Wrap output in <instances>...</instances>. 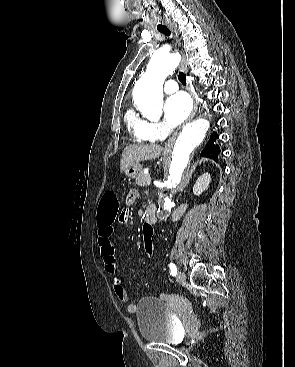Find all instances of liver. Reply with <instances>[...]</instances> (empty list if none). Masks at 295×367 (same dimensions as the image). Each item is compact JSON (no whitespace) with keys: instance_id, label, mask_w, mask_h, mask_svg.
<instances>
[{"instance_id":"1","label":"liver","mask_w":295,"mask_h":367,"mask_svg":"<svg viewBox=\"0 0 295 367\" xmlns=\"http://www.w3.org/2000/svg\"><path fill=\"white\" fill-rule=\"evenodd\" d=\"M163 151V147L157 144H136L127 146L120 162L121 172L136 163L158 158Z\"/></svg>"}]
</instances>
